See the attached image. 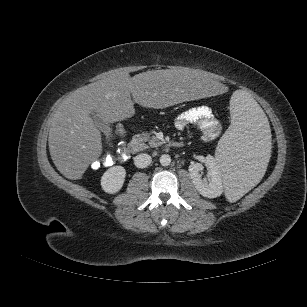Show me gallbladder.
<instances>
[{
  "label": "gallbladder",
  "mask_w": 307,
  "mask_h": 307,
  "mask_svg": "<svg viewBox=\"0 0 307 307\" xmlns=\"http://www.w3.org/2000/svg\"><path fill=\"white\" fill-rule=\"evenodd\" d=\"M94 124L97 126L99 130L103 132L106 136V139H110L112 137V130L108 122H106L97 112H92L90 114Z\"/></svg>",
  "instance_id": "gallbladder-1"
}]
</instances>
